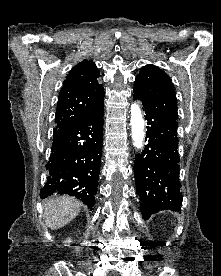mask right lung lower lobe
<instances>
[{"instance_id": "98d812e1", "label": "right lung lower lobe", "mask_w": 221, "mask_h": 276, "mask_svg": "<svg viewBox=\"0 0 221 276\" xmlns=\"http://www.w3.org/2000/svg\"><path fill=\"white\" fill-rule=\"evenodd\" d=\"M104 104L84 121L54 131L44 199L53 193L79 198L88 208L95 203L102 156Z\"/></svg>"}]
</instances>
